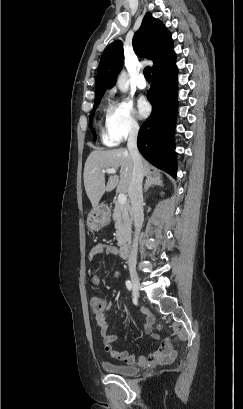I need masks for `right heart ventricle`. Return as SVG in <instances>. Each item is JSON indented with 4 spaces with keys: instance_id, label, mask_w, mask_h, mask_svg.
<instances>
[{
    "instance_id": "e07e8e85",
    "label": "right heart ventricle",
    "mask_w": 243,
    "mask_h": 409,
    "mask_svg": "<svg viewBox=\"0 0 243 409\" xmlns=\"http://www.w3.org/2000/svg\"><path fill=\"white\" fill-rule=\"evenodd\" d=\"M102 140L106 145H113L115 143V141L110 137V135L108 133H103L102 134Z\"/></svg>"
}]
</instances>
